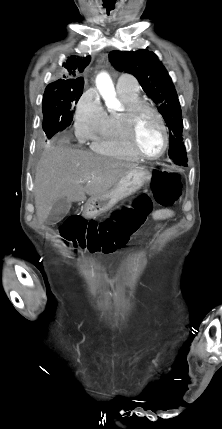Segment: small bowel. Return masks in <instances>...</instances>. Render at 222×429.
Wrapping results in <instances>:
<instances>
[{
	"instance_id": "1",
	"label": "small bowel",
	"mask_w": 222,
	"mask_h": 429,
	"mask_svg": "<svg viewBox=\"0 0 222 429\" xmlns=\"http://www.w3.org/2000/svg\"><path fill=\"white\" fill-rule=\"evenodd\" d=\"M172 216H173V211L170 209H160L155 211L152 214V218L157 221H164L171 218ZM157 228H160V225L157 226Z\"/></svg>"
}]
</instances>
